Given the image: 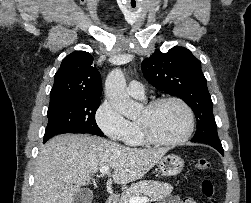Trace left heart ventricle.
<instances>
[{
  "label": "left heart ventricle",
  "mask_w": 251,
  "mask_h": 203,
  "mask_svg": "<svg viewBox=\"0 0 251 203\" xmlns=\"http://www.w3.org/2000/svg\"><path fill=\"white\" fill-rule=\"evenodd\" d=\"M138 120L148 121L155 136L164 140L181 137L188 127V116L185 110L174 102L161 105L151 114H147L144 109Z\"/></svg>",
  "instance_id": "obj_1"
}]
</instances>
